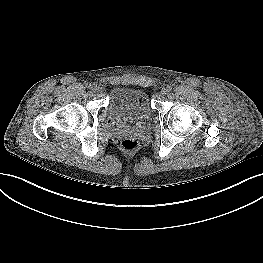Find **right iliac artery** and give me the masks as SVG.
I'll use <instances>...</instances> for the list:
<instances>
[{"mask_svg":"<svg viewBox=\"0 0 263 263\" xmlns=\"http://www.w3.org/2000/svg\"><path fill=\"white\" fill-rule=\"evenodd\" d=\"M87 87H88V88H92V84H91V83L88 84Z\"/></svg>","mask_w":263,"mask_h":263,"instance_id":"obj_1","label":"right iliac artery"}]
</instances>
